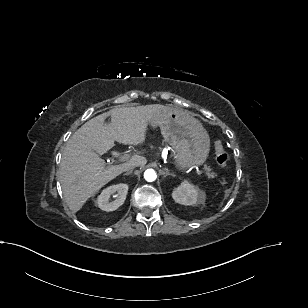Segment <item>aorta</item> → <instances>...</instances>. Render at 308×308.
I'll return each mask as SVG.
<instances>
[{
	"mask_svg": "<svg viewBox=\"0 0 308 308\" xmlns=\"http://www.w3.org/2000/svg\"><path fill=\"white\" fill-rule=\"evenodd\" d=\"M144 178L148 182H153V181L156 180L157 174H156V172L153 169H147L144 172Z\"/></svg>",
	"mask_w": 308,
	"mask_h": 308,
	"instance_id": "1",
	"label": "aorta"
}]
</instances>
